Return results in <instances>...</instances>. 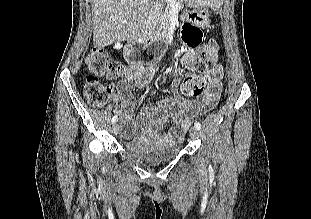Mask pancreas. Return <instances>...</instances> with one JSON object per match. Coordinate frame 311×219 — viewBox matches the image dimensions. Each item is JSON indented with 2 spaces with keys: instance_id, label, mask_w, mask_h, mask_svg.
Returning <instances> with one entry per match:
<instances>
[{
  "instance_id": "obj_1",
  "label": "pancreas",
  "mask_w": 311,
  "mask_h": 219,
  "mask_svg": "<svg viewBox=\"0 0 311 219\" xmlns=\"http://www.w3.org/2000/svg\"><path fill=\"white\" fill-rule=\"evenodd\" d=\"M176 2L178 4V9L182 10L184 7L182 0H176ZM154 10L156 11V15L153 17V21L158 24L162 33L166 34L171 23V6L168 2L164 5L163 3H160L159 0H156Z\"/></svg>"
}]
</instances>
